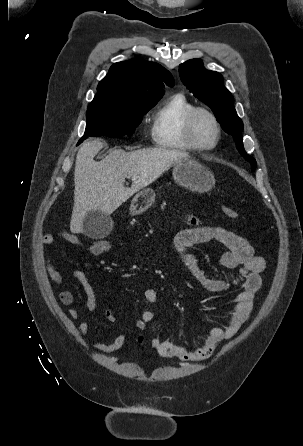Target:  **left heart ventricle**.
I'll use <instances>...</instances> for the list:
<instances>
[{
	"mask_svg": "<svg viewBox=\"0 0 303 446\" xmlns=\"http://www.w3.org/2000/svg\"><path fill=\"white\" fill-rule=\"evenodd\" d=\"M193 135L196 141L203 146L213 143L216 135L215 127L211 119L205 114H199L193 124Z\"/></svg>",
	"mask_w": 303,
	"mask_h": 446,
	"instance_id": "obj_1",
	"label": "left heart ventricle"
}]
</instances>
